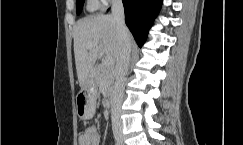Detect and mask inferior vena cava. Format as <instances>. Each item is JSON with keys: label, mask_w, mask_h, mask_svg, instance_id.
Masks as SVG:
<instances>
[{"label": "inferior vena cava", "mask_w": 243, "mask_h": 145, "mask_svg": "<svg viewBox=\"0 0 243 145\" xmlns=\"http://www.w3.org/2000/svg\"><path fill=\"white\" fill-rule=\"evenodd\" d=\"M112 17L116 22L119 38V52L116 61V81L112 103V114L119 116L124 97V82L128 71L131 38L124 21V8L121 0H112Z\"/></svg>", "instance_id": "inferior-vena-cava-1"}]
</instances>
